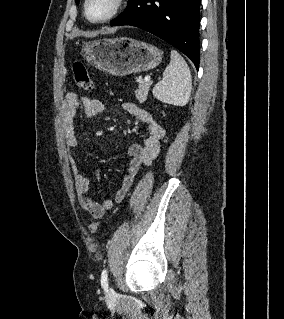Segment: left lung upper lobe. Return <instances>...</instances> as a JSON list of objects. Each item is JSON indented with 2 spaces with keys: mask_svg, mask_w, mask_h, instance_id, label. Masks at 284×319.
Returning <instances> with one entry per match:
<instances>
[{
  "mask_svg": "<svg viewBox=\"0 0 284 319\" xmlns=\"http://www.w3.org/2000/svg\"><path fill=\"white\" fill-rule=\"evenodd\" d=\"M75 1H76V3L78 4L79 0H75ZM129 2H131V0H129Z\"/></svg>",
  "mask_w": 284,
  "mask_h": 319,
  "instance_id": "1",
  "label": "left lung upper lobe"
}]
</instances>
